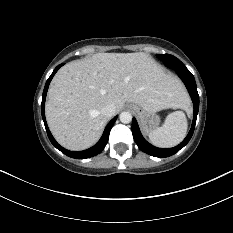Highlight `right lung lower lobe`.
Returning a JSON list of instances; mask_svg holds the SVG:
<instances>
[{
    "instance_id": "98d812e1",
    "label": "right lung lower lobe",
    "mask_w": 233,
    "mask_h": 233,
    "mask_svg": "<svg viewBox=\"0 0 233 233\" xmlns=\"http://www.w3.org/2000/svg\"><path fill=\"white\" fill-rule=\"evenodd\" d=\"M64 63L58 65L53 73L50 75V77L48 78L46 84H45V88H44V91H43V96H42V103H41V112H42V118H43V121H44V124H45V128H46V131H47V135H48V138L49 140L51 141V143L58 149L60 150L62 153H64L65 155L71 157V158H75V159H85V158H90V157H93L97 154H99L103 149L104 147L106 146L107 142H108V139H109V133H110V130L113 126V124L115 123L116 119H117V116L114 117L110 122L109 124L106 126L104 132H103V135L102 137L100 138V140L91 148L87 149V150H84V151H79V152H74V151H69L65 148H63L62 146H60L56 140L53 138L48 126H47V123H46V119H45V112H44V107H45V99H46V94H47V90H48V87H49V84L53 78V76L55 75V73L58 71V69L63 66Z\"/></svg>"
}]
</instances>
